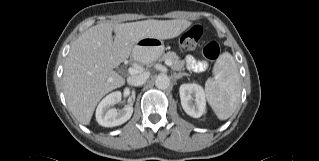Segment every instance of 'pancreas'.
<instances>
[{"mask_svg":"<svg viewBox=\"0 0 319 161\" xmlns=\"http://www.w3.org/2000/svg\"><path fill=\"white\" fill-rule=\"evenodd\" d=\"M159 60L160 61L169 60L171 62V68L173 70H176V71L184 70L185 61L180 60V57L175 52L169 51L167 53H163L159 57Z\"/></svg>","mask_w":319,"mask_h":161,"instance_id":"obj_1","label":"pancreas"}]
</instances>
